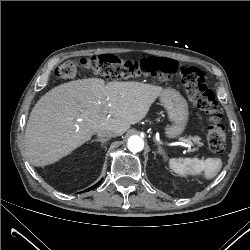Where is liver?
Instances as JSON below:
<instances>
[{"mask_svg":"<svg viewBox=\"0 0 250 250\" xmlns=\"http://www.w3.org/2000/svg\"><path fill=\"white\" fill-rule=\"evenodd\" d=\"M163 92L139 82L89 78L61 84L33 107L25 130V151L37 167L57 162L99 130L123 135L141 121Z\"/></svg>","mask_w":250,"mask_h":250,"instance_id":"1","label":"liver"}]
</instances>
